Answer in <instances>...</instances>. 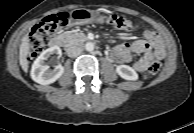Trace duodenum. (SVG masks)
I'll return each instance as SVG.
<instances>
[{"mask_svg": "<svg viewBox=\"0 0 194 133\" xmlns=\"http://www.w3.org/2000/svg\"><path fill=\"white\" fill-rule=\"evenodd\" d=\"M75 41L76 42L80 41L81 43L86 44L88 42V38L86 36H81L80 38L76 37ZM63 44H64V39L61 36H57L53 38L50 42V46L53 48H59L63 46Z\"/></svg>", "mask_w": 194, "mask_h": 133, "instance_id": "410a0bca", "label": "duodenum"}]
</instances>
